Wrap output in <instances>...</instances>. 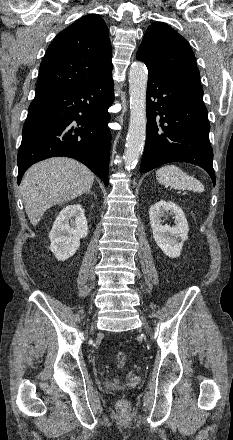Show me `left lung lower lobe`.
<instances>
[{
    "label": "left lung lower lobe",
    "mask_w": 233,
    "mask_h": 440,
    "mask_svg": "<svg viewBox=\"0 0 233 440\" xmlns=\"http://www.w3.org/2000/svg\"><path fill=\"white\" fill-rule=\"evenodd\" d=\"M146 105L147 138L140 172L169 162H188L205 169L215 185L202 88L149 75Z\"/></svg>",
    "instance_id": "obj_1"
}]
</instances>
